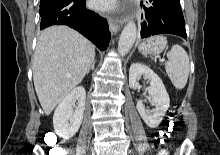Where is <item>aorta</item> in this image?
Listing matches in <instances>:
<instances>
[{"label":"aorta","mask_w":220,"mask_h":155,"mask_svg":"<svg viewBox=\"0 0 220 155\" xmlns=\"http://www.w3.org/2000/svg\"><path fill=\"white\" fill-rule=\"evenodd\" d=\"M137 36L136 24L129 21L123 28L118 42V53L121 56L126 55L135 43Z\"/></svg>","instance_id":"762f6f07"}]
</instances>
